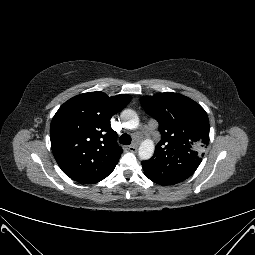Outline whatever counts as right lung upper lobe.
<instances>
[{
  "label": "right lung upper lobe",
  "mask_w": 255,
  "mask_h": 255,
  "mask_svg": "<svg viewBox=\"0 0 255 255\" xmlns=\"http://www.w3.org/2000/svg\"><path fill=\"white\" fill-rule=\"evenodd\" d=\"M130 98L97 91L77 95L59 108L50 126L51 148L67 176L93 184L111 174L123 150L116 143L110 119Z\"/></svg>",
  "instance_id": "1"
}]
</instances>
